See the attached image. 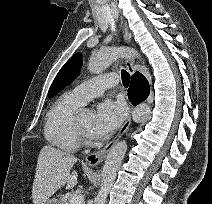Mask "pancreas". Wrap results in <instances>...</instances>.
<instances>
[{
	"label": "pancreas",
	"mask_w": 212,
	"mask_h": 204,
	"mask_svg": "<svg viewBox=\"0 0 212 204\" xmlns=\"http://www.w3.org/2000/svg\"><path fill=\"white\" fill-rule=\"evenodd\" d=\"M74 195H75L74 192H68V193H66V194L62 197L60 204H70V199H71V197H73Z\"/></svg>",
	"instance_id": "cf45deb5"
}]
</instances>
